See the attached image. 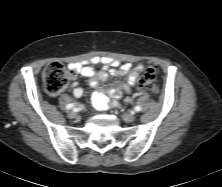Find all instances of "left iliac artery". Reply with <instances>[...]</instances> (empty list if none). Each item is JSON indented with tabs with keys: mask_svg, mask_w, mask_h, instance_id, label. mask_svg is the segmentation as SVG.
I'll list each match as a JSON object with an SVG mask.
<instances>
[{
	"mask_svg": "<svg viewBox=\"0 0 222 187\" xmlns=\"http://www.w3.org/2000/svg\"><path fill=\"white\" fill-rule=\"evenodd\" d=\"M134 110H135L136 112H139V111H141V107H140V106H136V107L134 108Z\"/></svg>",
	"mask_w": 222,
	"mask_h": 187,
	"instance_id": "left-iliac-artery-1",
	"label": "left iliac artery"
}]
</instances>
